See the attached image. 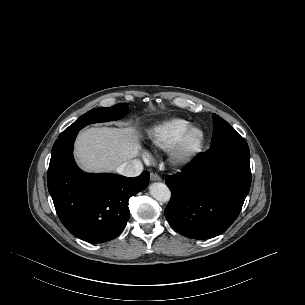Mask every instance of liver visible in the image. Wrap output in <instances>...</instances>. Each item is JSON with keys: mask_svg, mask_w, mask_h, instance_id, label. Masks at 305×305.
<instances>
[{"mask_svg": "<svg viewBox=\"0 0 305 305\" xmlns=\"http://www.w3.org/2000/svg\"><path fill=\"white\" fill-rule=\"evenodd\" d=\"M140 149L133 128L98 127L78 135L75 157L86 172H106L136 157Z\"/></svg>", "mask_w": 305, "mask_h": 305, "instance_id": "6515ba94", "label": "liver"}]
</instances>
